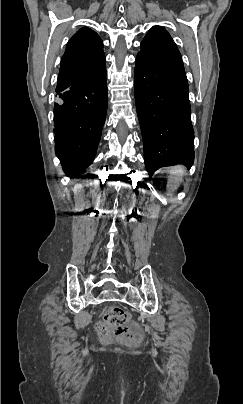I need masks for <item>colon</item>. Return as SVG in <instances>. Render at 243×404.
<instances>
[{
	"instance_id": "obj_1",
	"label": "colon",
	"mask_w": 243,
	"mask_h": 404,
	"mask_svg": "<svg viewBox=\"0 0 243 404\" xmlns=\"http://www.w3.org/2000/svg\"><path fill=\"white\" fill-rule=\"evenodd\" d=\"M129 314L119 306H111L105 313L104 320L98 325V329L103 336H108L110 327H116L114 333L119 341L133 345L137 342L138 336L123 325L128 321Z\"/></svg>"
}]
</instances>
